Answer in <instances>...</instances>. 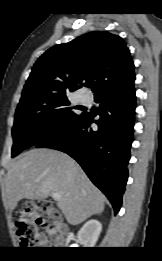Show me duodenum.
<instances>
[{
  "label": "duodenum",
  "mask_w": 162,
  "mask_h": 261,
  "mask_svg": "<svg viewBox=\"0 0 162 261\" xmlns=\"http://www.w3.org/2000/svg\"><path fill=\"white\" fill-rule=\"evenodd\" d=\"M62 234L65 235V236H69V235H70V234L67 233V232L61 231L60 236H61ZM60 236H59V237H60ZM61 242H62V241H58L57 243L59 244V243H61Z\"/></svg>",
  "instance_id": "duodenum-1"
}]
</instances>
